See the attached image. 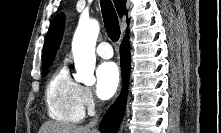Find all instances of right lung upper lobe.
<instances>
[{"label":"right lung upper lobe","mask_w":221,"mask_h":133,"mask_svg":"<svg viewBox=\"0 0 221 133\" xmlns=\"http://www.w3.org/2000/svg\"><path fill=\"white\" fill-rule=\"evenodd\" d=\"M117 12L120 17L126 13V0H113ZM64 29V15H58L50 23V27L46 36L45 44L43 47L42 62L43 65L53 62L57 48L60 44L62 33Z\"/></svg>","instance_id":"1"}]
</instances>
